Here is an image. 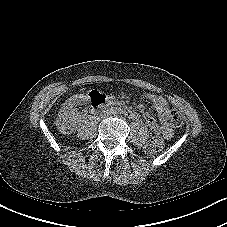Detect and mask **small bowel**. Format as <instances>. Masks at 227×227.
Returning <instances> with one entry per match:
<instances>
[{"label":"small bowel","instance_id":"c3829d8e","mask_svg":"<svg viewBox=\"0 0 227 227\" xmlns=\"http://www.w3.org/2000/svg\"><path fill=\"white\" fill-rule=\"evenodd\" d=\"M142 96L152 104L158 114V120L150 115L145 116L148 127L153 133L162 134L165 138H170L172 136V128L170 124L171 110L168 102L162 96L151 93H145Z\"/></svg>","mask_w":227,"mask_h":227}]
</instances>
